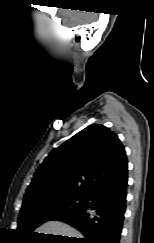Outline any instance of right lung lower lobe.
Returning <instances> with one entry per match:
<instances>
[{
	"label": "right lung lower lobe",
	"instance_id": "1",
	"mask_svg": "<svg viewBox=\"0 0 154 243\" xmlns=\"http://www.w3.org/2000/svg\"><path fill=\"white\" fill-rule=\"evenodd\" d=\"M128 167L102 181L86 196L82 208L61 214L54 220L63 221L82 234L72 243H119L126 210Z\"/></svg>",
	"mask_w": 154,
	"mask_h": 243
}]
</instances>
